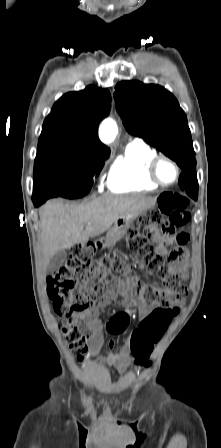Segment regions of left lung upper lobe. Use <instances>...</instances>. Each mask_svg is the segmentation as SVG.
<instances>
[{"label": "left lung upper lobe", "instance_id": "1", "mask_svg": "<svg viewBox=\"0 0 221 448\" xmlns=\"http://www.w3.org/2000/svg\"><path fill=\"white\" fill-rule=\"evenodd\" d=\"M115 103L126 130L176 161L184 170L196 167L187 117L165 88L138 81L115 87Z\"/></svg>", "mask_w": 221, "mask_h": 448}]
</instances>
